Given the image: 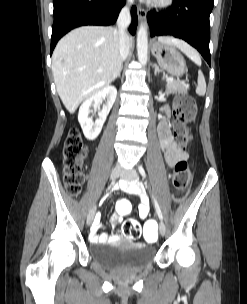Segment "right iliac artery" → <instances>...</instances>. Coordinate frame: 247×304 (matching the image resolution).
Wrapping results in <instances>:
<instances>
[{
	"instance_id": "obj_1",
	"label": "right iliac artery",
	"mask_w": 247,
	"mask_h": 304,
	"mask_svg": "<svg viewBox=\"0 0 247 304\" xmlns=\"http://www.w3.org/2000/svg\"><path fill=\"white\" fill-rule=\"evenodd\" d=\"M114 183H115V182L113 181V182L111 183V185H110V186H114ZM107 191H108V189H107Z\"/></svg>"
}]
</instances>
